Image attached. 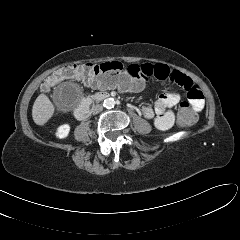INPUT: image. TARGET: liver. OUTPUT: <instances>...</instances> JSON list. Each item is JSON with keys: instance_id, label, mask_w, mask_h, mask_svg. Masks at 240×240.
Returning a JSON list of instances; mask_svg holds the SVG:
<instances>
[{"instance_id": "6515ba94", "label": "liver", "mask_w": 240, "mask_h": 240, "mask_svg": "<svg viewBox=\"0 0 240 240\" xmlns=\"http://www.w3.org/2000/svg\"><path fill=\"white\" fill-rule=\"evenodd\" d=\"M54 114V106L45 94H40L32 108V118L37 125H44Z\"/></svg>"}]
</instances>
